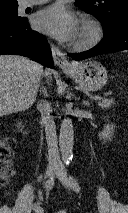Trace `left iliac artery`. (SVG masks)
Listing matches in <instances>:
<instances>
[{"instance_id":"44dca946","label":"left iliac artery","mask_w":128,"mask_h":213,"mask_svg":"<svg viewBox=\"0 0 128 213\" xmlns=\"http://www.w3.org/2000/svg\"><path fill=\"white\" fill-rule=\"evenodd\" d=\"M69 181H70V184H71L73 190L76 191V192H80L79 183L77 182V180L73 176L69 177Z\"/></svg>"}]
</instances>
